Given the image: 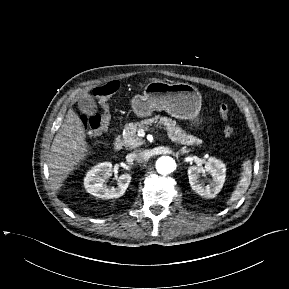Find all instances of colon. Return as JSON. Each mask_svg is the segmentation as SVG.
<instances>
[{
    "instance_id": "colon-1",
    "label": "colon",
    "mask_w": 289,
    "mask_h": 289,
    "mask_svg": "<svg viewBox=\"0 0 289 289\" xmlns=\"http://www.w3.org/2000/svg\"><path fill=\"white\" fill-rule=\"evenodd\" d=\"M119 89L118 81H110L103 85L96 87L93 90L95 97L101 103V112L94 113L91 115H82L81 121L84 127L93 133H98L107 128L110 121L109 107L107 100L111 98ZM218 112L223 119H227L229 116L230 109L227 104L221 103L218 106ZM224 134L227 137L234 135V129L232 126H225Z\"/></svg>"
}]
</instances>
